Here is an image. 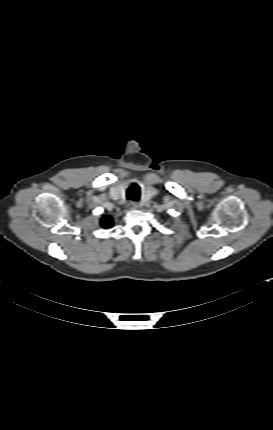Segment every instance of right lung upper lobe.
<instances>
[{
  "label": "right lung upper lobe",
  "instance_id": "obj_1",
  "mask_svg": "<svg viewBox=\"0 0 273 430\" xmlns=\"http://www.w3.org/2000/svg\"><path fill=\"white\" fill-rule=\"evenodd\" d=\"M101 224L104 228H111L113 225V219L109 216H104L101 220Z\"/></svg>",
  "mask_w": 273,
  "mask_h": 430
}]
</instances>
